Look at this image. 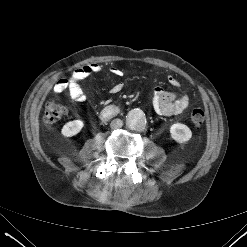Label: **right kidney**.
Masks as SVG:
<instances>
[{
    "label": "right kidney",
    "instance_id": "ca27d5eb",
    "mask_svg": "<svg viewBox=\"0 0 247 247\" xmlns=\"http://www.w3.org/2000/svg\"><path fill=\"white\" fill-rule=\"evenodd\" d=\"M83 126H84L83 121L73 120V121L67 122L63 126L61 133L65 137H72V136L77 135L81 131Z\"/></svg>",
    "mask_w": 247,
    "mask_h": 247
}]
</instances>
